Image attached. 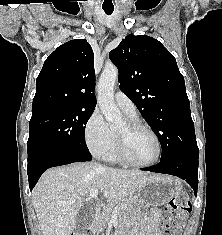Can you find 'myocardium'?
I'll return each instance as SVG.
<instances>
[{"label":"myocardium","instance_id":"myocardium-1","mask_svg":"<svg viewBox=\"0 0 222 235\" xmlns=\"http://www.w3.org/2000/svg\"><path fill=\"white\" fill-rule=\"evenodd\" d=\"M126 124H127V128L129 132H136L139 130H144L150 133L157 142L158 153H157V156L150 162H147V163L135 162L134 160L130 158L128 154L126 137L116 132V151H117V156L119 160L127 165H130L132 167H137V168L150 167L152 165H155L157 162H159L163 154V145H162V141L159 135L151 127H149L148 125H146L145 123L137 119L130 118L126 121Z\"/></svg>","mask_w":222,"mask_h":235}]
</instances>
